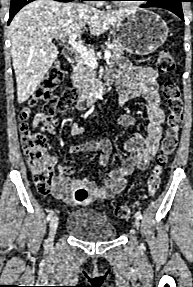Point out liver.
I'll return each mask as SVG.
<instances>
[{
  "instance_id": "1",
  "label": "liver",
  "mask_w": 193,
  "mask_h": 287,
  "mask_svg": "<svg viewBox=\"0 0 193 287\" xmlns=\"http://www.w3.org/2000/svg\"><path fill=\"white\" fill-rule=\"evenodd\" d=\"M133 12L99 11L86 3L54 0H36L23 7L9 26L18 103L34 93L57 59L54 39L79 32L85 25L92 36H99Z\"/></svg>"
}]
</instances>
